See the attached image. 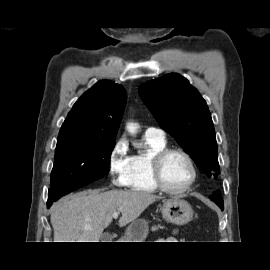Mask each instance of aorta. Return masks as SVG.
Instances as JSON below:
<instances>
[{
	"label": "aorta",
	"mask_w": 270,
	"mask_h": 270,
	"mask_svg": "<svg viewBox=\"0 0 270 270\" xmlns=\"http://www.w3.org/2000/svg\"><path fill=\"white\" fill-rule=\"evenodd\" d=\"M126 128H127L128 132H130L132 135H134V134H136L138 127L135 124H128Z\"/></svg>",
	"instance_id": "obj_1"
}]
</instances>
